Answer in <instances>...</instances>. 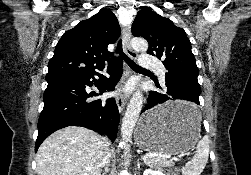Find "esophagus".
<instances>
[{"mask_svg": "<svg viewBox=\"0 0 251 175\" xmlns=\"http://www.w3.org/2000/svg\"><path fill=\"white\" fill-rule=\"evenodd\" d=\"M130 41H131L130 30L128 28H124L123 29V47H124V51L128 55V57L133 58V59H137L138 53L135 52L132 49ZM131 73L132 72L128 69L126 71V74L122 77V79L120 80V82L117 85L116 103H117V107H118V110H119L120 113L123 111V108H124V105H125V99H124V96L122 94V90L124 89L125 84H126V80L131 75Z\"/></svg>", "mask_w": 251, "mask_h": 175, "instance_id": "esophagus-1", "label": "esophagus"}]
</instances>
